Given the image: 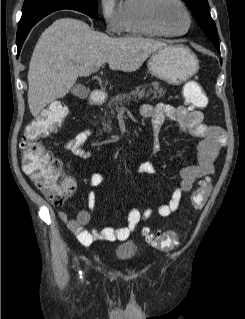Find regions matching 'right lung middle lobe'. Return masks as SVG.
I'll use <instances>...</instances> for the list:
<instances>
[{
  "instance_id": "right-lung-middle-lobe-1",
  "label": "right lung middle lobe",
  "mask_w": 245,
  "mask_h": 319,
  "mask_svg": "<svg viewBox=\"0 0 245 319\" xmlns=\"http://www.w3.org/2000/svg\"><path fill=\"white\" fill-rule=\"evenodd\" d=\"M97 2L98 0H25L18 27L28 25L29 21L38 15L45 14L46 16L52 11L60 9H73L96 19L98 14Z\"/></svg>"
}]
</instances>
